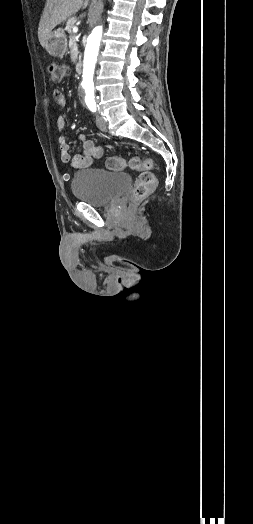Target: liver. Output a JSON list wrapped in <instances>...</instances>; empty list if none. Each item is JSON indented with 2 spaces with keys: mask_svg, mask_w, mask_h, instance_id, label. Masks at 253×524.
<instances>
[{
  "mask_svg": "<svg viewBox=\"0 0 253 524\" xmlns=\"http://www.w3.org/2000/svg\"><path fill=\"white\" fill-rule=\"evenodd\" d=\"M88 3L89 0H47L38 28L41 46L46 48L51 31L81 8L85 9Z\"/></svg>",
  "mask_w": 253,
  "mask_h": 524,
  "instance_id": "liver-1",
  "label": "liver"
}]
</instances>
